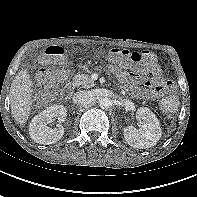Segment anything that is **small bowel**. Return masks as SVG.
Masks as SVG:
<instances>
[{
  "label": "small bowel",
  "instance_id": "obj_1",
  "mask_svg": "<svg viewBox=\"0 0 197 197\" xmlns=\"http://www.w3.org/2000/svg\"><path fill=\"white\" fill-rule=\"evenodd\" d=\"M121 68H114V72L123 87L129 89L134 96L140 99H157L173 91L171 82L165 81L161 67L155 64L150 69L151 77L146 79L138 72H128L122 69L127 63L120 61Z\"/></svg>",
  "mask_w": 197,
  "mask_h": 197
}]
</instances>
